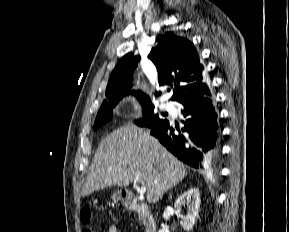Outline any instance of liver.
Listing matches in <instances>:
<instances>
[{
	"label": "liver",
	"instance_id": "liver-1",
	"mask_svg": "<svg viewBox=\"0 0 289 232\" xmlns=\"http://www.w3.org/2000/svg\"><path fill=\"white\" fill-rule=\"evenodd\" d=\"M95 167L81 191L83 197L94 191L130 183L147 189L148 203H156L187 175L186 168L148 132L131 126L121 127L99 144Z\"/></svg>",
	"mask_w": 289,
	"mask_h": 232
}]
</instances>
